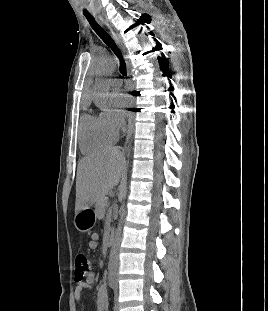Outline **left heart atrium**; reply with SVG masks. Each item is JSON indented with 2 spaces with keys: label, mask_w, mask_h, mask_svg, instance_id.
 I'll return each mask as SVG.
<instances>
[{
  "label": "left heart atrium",
  "mask_w": 268,
  "mask_h": 311,
  "mask_svg": "<svg viewBox=\"0 0 268 311\" xmlns=\"http://www.w3.org/2000/svg\"><path fill=\"white\" fill-rule=\"evenodd\" d=\"M122 97H126V96L124 94H115V95H113V98L115 99L114 104L117 107H121V108L130 105L129 101L121 100Z\"/></svg>",
  "instance_id": "obj_1"
}]
</instances>
